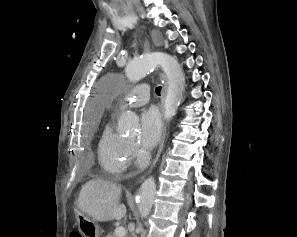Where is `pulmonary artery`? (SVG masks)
Masks as SVG:
<instances>
[{
	"label": "pulmonary artery",
	"instance_id": "e3ab8cb5",
	"mask_svg": "<svg viewBox=\"0 0 297 237\" xmlns=\"http://www.w3.org/2000/svg\"><path fill=\"white\" fill-rule=\"evenodd\" d=\"M150 87L148 85L135 86L128 94L129 105L141 106L149 101Z\"/></svg>",
	"mask_w": 297,
	"mask_h": 237
}]
</instances>
